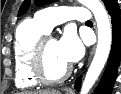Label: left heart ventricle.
<instances>
[{"label":"left heart ventricle","mask_w":121,"mask_h":94,"mask_svg":"<svg viewBox=\"0 0 121 94\" xmlns=\"http://www.w3.org/2000/svg\"><path fill=\"white\" fill-rule=\"evenodd\" d=\"M45 70L48 76H59L69 63L64 60L58 49V42L55 39H49L45 44Z\"/></svg>","instance_id":"b2bd125f"}]
</instances>
